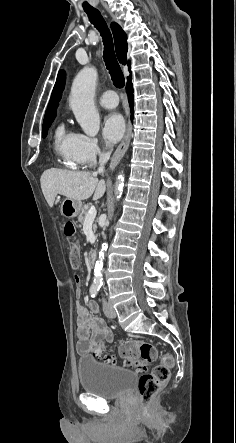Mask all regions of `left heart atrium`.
I'll return each mask as SVG.
<instances>
[{"label":"left heart atrium","instance_id":"left-heart-atrium-1","mask_svg":"<svg viewBox=\"0 0 236 443\" xmlns=\"http://www.w3.org/2000/svg\"><path fill=\"white\" fill-rule=\"evenodd\" d=\"M125 122L123 117L115 112L107 114L102 120V133L110 143H115L123 136Z\"/></svg>","mask_w":236,"mask_h":443}]
</instances>
